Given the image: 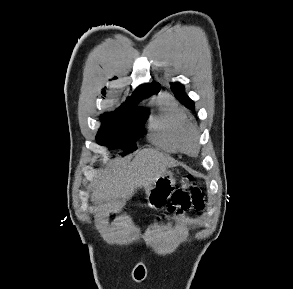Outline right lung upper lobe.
<instances>
[{"instance_id": "1", "label": "right lung upper lobe", "mask_w": 293, "mask_h": 289, "mask_svg": "<svg viewBox=\"0 0 293 289\" xmlns=\"http://www.w3.org/2000/svg\"><path fill=\"white\" fill-rule=\"evenodd\" d=\"M159 90L160 85L156 83L141 85L134 91L131 97L127 98L125 103L141 101L143 98L155 94Z\"/></svg>"}]
</instances>
